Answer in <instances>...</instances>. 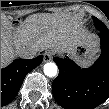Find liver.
<instances>
[{"label": "liver", "mask_w": 109, "mask_h": 109, "mask_svg": "<svg viewBox=\"0 0 109 109\" xmlns=\"http://www.w3.org/2000/svg\"><path fill=\"white\" fill-rule=\"evenodd\" d=\"M96 36L88 34L76 16L71 14L38 13L27 17L15 30L1 28V66H7L17 55L19 47L37 51L53 49L67 53L77 45L98 47Z\"/></svg>", "instance_id": "obj_1"}]
</instances>
